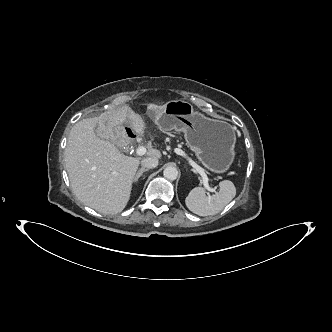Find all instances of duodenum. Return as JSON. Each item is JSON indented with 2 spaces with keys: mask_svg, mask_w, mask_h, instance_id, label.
<instances>
[{
  "mask_svg": "<svg viewBox=\"0 0 332 332\" xmlns=\"http://www.w3.org/2000/svg\"><path fill=\"white\" fill-rule=\"evenodd\" d=\"M125 137L128 140H134L136 138V132L131 128H126Z\"/></svg>",
  "mask_w": 332,
  "mask_h": 332,
  "instance_id": "1",
  "label": "duodenum"
}]
</instances>
